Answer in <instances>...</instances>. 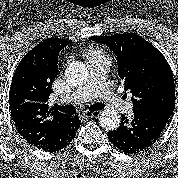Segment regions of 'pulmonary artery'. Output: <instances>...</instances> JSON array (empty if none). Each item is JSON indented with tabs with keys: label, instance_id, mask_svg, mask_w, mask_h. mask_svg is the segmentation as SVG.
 <instances>
[{
	"label": "pulmonary artery",
	"instance_id": "obj_1",
	"mask_svg": "<svg viewBox=\"0 0 178 178\" xmlns=\"http://www.w3.org/2000/svg\"><path fill=\"white\" fill-rule=\"evenodd\" d=\"M109 63L108 58L91 57L88 61L89 77L86 84L74 90L67 101L84 103L99 97L111 102L120 111L128 112L130 104L122 100L107 82Z\"/></svg>",
	"mask_w": 178,
	"mask_h": 178
}]
</instances>
